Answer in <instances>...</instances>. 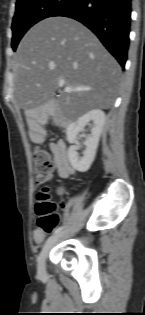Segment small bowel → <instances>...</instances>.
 <instances>
[{"mask_svg":"<svg viewBox=\"0 0 145 315\" xmlns=\"http://www.w3.org/2000/svg\"><path fill=\"white\" fill-rule=\"evenodd\" d=\"M29 134L31 138L37 143H41L44 141V130L42 128L41 119L34 120L30 123ZM48 146L53 157V162L57 175L62 179L70 177L73 174L74 169L69 162L68 148L66 143L63 140H59L57 142H50ZM63 191V188L58 189V192L60 194L63 193ZM45 234L46 233H42L41 229H38L36 226L33 232V240L36 243H40L44 239Z\"/></svg>","mask_w":145,"mask_h":315,"instance_id":"c3829d8e","label":"small bowel"}]
</instances>
